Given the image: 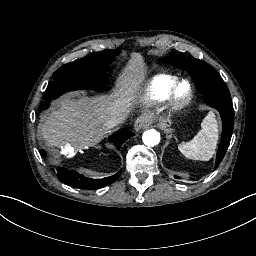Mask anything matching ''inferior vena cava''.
<instances>
[{
  "label": "inferior vena cava",
  "mask_w": 256,
  "mask_h": 256,
  "mask_svg": "<svg viewBox=\"0 0 256 256\" xmlns=\"http://www.w3.org/2000/svg\"><path fill=\"white\" fill-rule=\"evenodd\" d=\"M127 114H128V112L125 111V112H121V113H119L115 116L110 117L107 120L106 126L108 128H111V127H114L116 125H119L120 123H122L126 119Z\"/></svg>",
  "instance_id": "1"
}]
</instances>
